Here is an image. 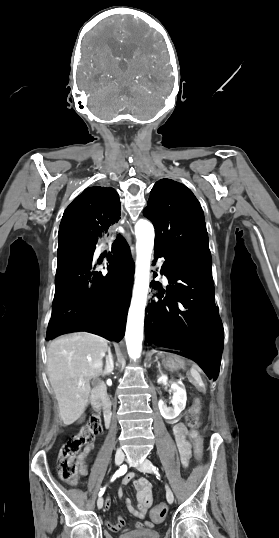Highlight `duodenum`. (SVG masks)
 I'll use <instances>...</instances> for the list:
<instances>
[{
    "label": "duodenum",
    "mask_w": 279,
    "mask_h": 538,
    "mask_svg": "<svg viewBox=\"0 0 279 538\" xmlns=\"http://www.w3.org/2000/svg\"><path fill=\"white\" fill-rule=\"evenodd\" d=\"M92 401L90 402L91 405V411L93 413H100L102 411V400H104V406H103V417H104V424L103 427L105 429H108L110 427L109 422H111V405L112 402L109 399V396L107 395V391L104 389V382L98 381L96 385L93 387L92 390Z\"/></svg>",
    "instance_id": "duodenum-1"
}]
</instances>
